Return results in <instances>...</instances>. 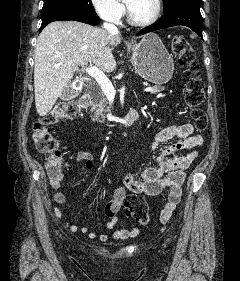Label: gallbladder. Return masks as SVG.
<instances>
[{
	"label": "gallbladder",
	"mask_w": 240,
	"mask_h": 281,
	"mask_svg": "<svg viewBox=\"0 0 240 281\" xmlns=\"http://www.w3.org/2000/svg\"><path fill=\"white\" fill-rule=\"evenodd\" d=\"M72 94V89L71 88H66L61 96L63 100H68L71 98Z\"/></svg>",
	"instance_id": "bac80fb5"
}]
</instances>
